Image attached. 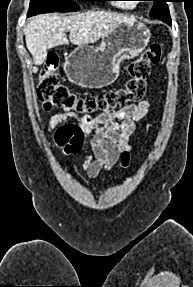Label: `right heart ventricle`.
Masks as SVG:
<instances>
[{"label": "right heart ventricle", "mask_w": 193, "mask_h": 287, "mask_svg": "<svg viewBox=\"0 0 193 287\" xmlns=\"http://www.w3.org/2000/svg\"><path fill=\"white\" fill-rule=\"evenodd\" d=\"M120 6L123 8H129L131 5L130 4H121Z\"/></svg>", "instance_id": "obj_1"}]
</instances>
